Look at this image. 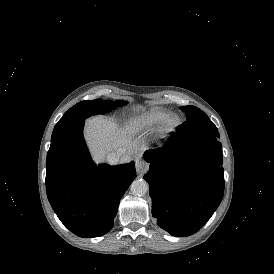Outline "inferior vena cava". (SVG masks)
Wrapping results in <instances>:
<instances>
[{"label": "inferior vena cava", "instance_id": "obj_1", "mask_svg": "<svg viewBox=\"0 0 274 274\" xmlns=\"http://www.w3.org/2000/svg\"><path fill=\"white\" fill-rule=\"evenodd\" d=\"M125 152V150H123ZM120 154L117 152H112L107 154V161L110 164H116L119 162Z\"/></svg>", "mask_w": 274, "mask_h": 274}]
</instances>
